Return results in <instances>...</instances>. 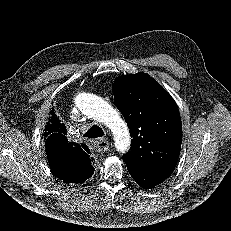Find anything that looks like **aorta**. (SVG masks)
Segmentation results:
<instances>
[{"label": "aorta", "instance_id": "obj_1", "mask_svg": "<svg viewBox=\"0 0 231 231\" xmlns=\"http://www.w3.org/2000/svg\"><path fill=\"white\" fill-rule=\"evenodd\" d=\"M74 104L84 115L111 130L118 151L124 153L129 149L131 142L127 124L109 103L95 94L80 92L74 97Z\"/></svg>", "mask_w": 231, "mask_h": 231}]
</instances>
